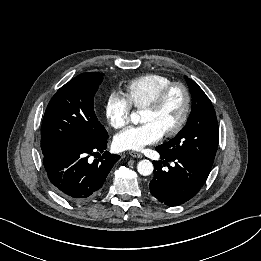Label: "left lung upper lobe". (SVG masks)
Returning a JSON list of instances; mask_svg holds the SVG:
<instances>
[{
    "label": "left lung upper lobe",
    "instance_id": "obj_1",
    "mask_svg": "<svg viewBox=\"0 0 261 261\" xmlns=\"http://www.w3.org/2000/svg\"><path fill=\"white\" fill-rule=\"evenodd\" d=\"M185 80L192 96L190 116L173 139L156 148L169 156H186L193 163L211 169L219 136L215 111L203 90L187 76Z\"/></svg>",
    "mask_w": 261,
    "mask_h": 261
}]
</instances>
